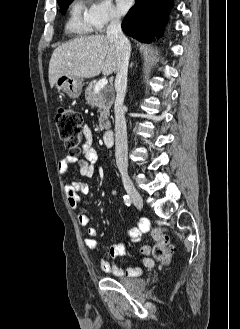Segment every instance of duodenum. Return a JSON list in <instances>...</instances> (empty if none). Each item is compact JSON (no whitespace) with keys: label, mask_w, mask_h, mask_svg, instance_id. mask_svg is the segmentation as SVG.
Returning a JSON list of instances; mask_svg holds the SVG:
<instances>
[{"label":"duodenum","mask_w":240,"mask_h":329,"mask_svg":"<svg viewBox=\"0 0 240 329\" xmlns=\"http://www.w3.org/2000/svg\"><path fill=\"white\" fill-rule=\"evenodd\" d=\"M102 138L107 146H112L114 143V131L112 129L104 131Z\"/></svg>","instance_id":"duodenum-1"}]
</instances>
